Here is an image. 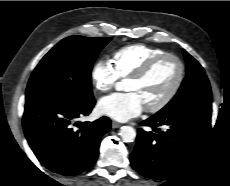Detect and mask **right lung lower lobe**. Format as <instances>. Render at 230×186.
Instances as JSON below:
<instances>
[{"instance_id": "1", "label": "right lung lower lobe", "mask_w": 230, "mask_h": 186, "mask_svg": "<svg viewBox=\"0 0 230 186\" xmlns=\"http://www.w3.org/2000/svg\"><path fill=\"white\" fill-rule=\"evenodd\" d=\"M94 105L93 97L70 100L59 96L40 97L25 103L24 132L43 166L55 173L73 176L94 165L101 137L111 127L110 119L77 122L79 129L72 127L73 120L87 116Z\"/></svg>"}]
</instances>
